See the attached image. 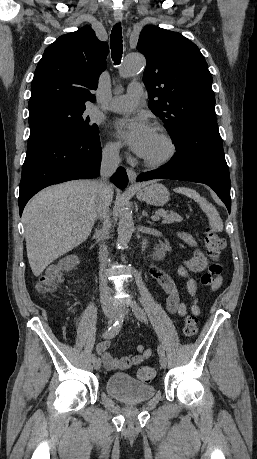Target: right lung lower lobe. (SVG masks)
Returning a JSON list of instances; mask_svg holds the SVG:
<instances>
[{"instance_id": "right-lung-lower-lobe-1", "label": "right lung lower lobe", "mask_w": 257, "mask_h": 459, "mask_svg": "<svg viewBox=\"0 0 257 459\" xmlns=\"http://www.w3.org/2000/svg\"><path fill=\"white\" fill-rule=\"evenodd\" d=\"M101 154L99 134L86 137L51 128L31 129L20 181V216L29 199L41 189L64 181L97 176ZM112 182L120 189L127 186L124 168L117 169Z\"/></svg>"}]
</instances>
